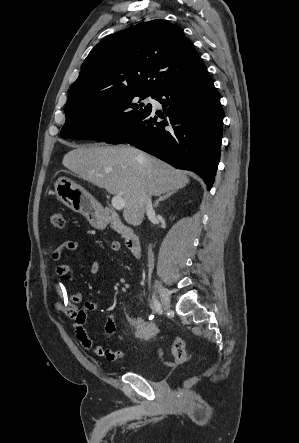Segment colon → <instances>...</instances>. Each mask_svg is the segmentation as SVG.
Masks as SVG:
<instances>
[{
	"label": "colon",
	"instance_id": "obj_1",
	"mask_svg": "<svg viewBox=\"0 0 299 443\" xmlns=\"http://www.w3.org/2000/svg\"><path fill=\"white\" fill-rule=\"evenodd\" d=\"M49 223L52 228L61 229L64 227V218L61 212L54 211L50 214ZM113 248H118L117 244H113ZM125 321L128 330L140 340H150L159 335L160 329L151 321L135 317L130 312L125 313ZM172 355L177 363H184L189 356L184 341L176 337L172 342Z\"/></svg>",
	"mask_w": 299,
	"mask_h": 443
}]
</instances>
